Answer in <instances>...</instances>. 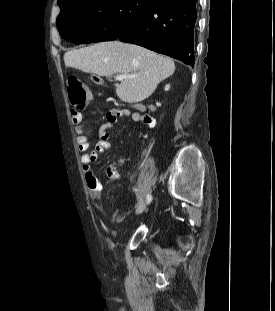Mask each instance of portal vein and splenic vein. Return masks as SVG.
<instances>
[{
	"instance_id": "1",
	"label": "portal vein and splenic vein",
	"mask_w": 275,
	"mask_h": 311,
	"mask_svg": "<svg viewBox=\"0 0 275 311\" xmlns=\"http://www.w3.org/2000/svg\"><path fill=\"white\" fill-rule=\"evenodd\" d=\"M125 78H127V76L125 75H116L115 79L118 81H123Z\"/></svg>"
}]
</instances>
